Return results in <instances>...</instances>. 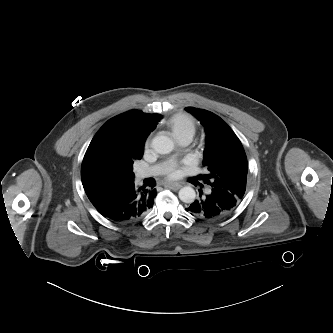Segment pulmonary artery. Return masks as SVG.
<instances>
[{"label": "pulmonary artery", "instance_id": "pulmonary-artery-1", "mask_svg": "<svg viewBox=\"0 0 333 333\" xmlns=\"http://www.w3.org/2000/svg\"><path fill=\"white\" fill-rule=\"evenodd\" d=\"M192 140V136H185L180 138L178 141L182 146H187ZM163 169V166L156 165L150 168L141 169L137 172L136 178L137 180H142L144 178L159 174Z\"/></svg>", "mask_w": 333, "mask_h": 333}]
</instances>
